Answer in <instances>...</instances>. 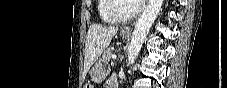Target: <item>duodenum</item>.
Here are the masks:
<instances>
[{
  "label": "duodenum",
  "instance_id": "duodenum-1",
  "mask_svg": "<svg viewBox=\"0 0 227 88\" xmlns=\"http://www.w3.org/2000/svg\"><path fill=\"white\" fill-rule=\"evenodd\" d=\"M113 85H116V80H114Z\"/></svg>",
  "mask_w": 227,
  "mask_h": 88
}]
</instances>
